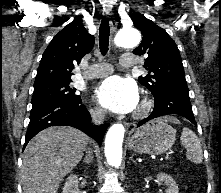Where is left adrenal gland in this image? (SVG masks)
<instances>
[{
    "mask_svg": "<svg viewBox=\"0 0 221 193\" xmlns=\"http://www.w3.org/2000/svg\"><path fill=\"white\" fill-rule=\"evenodd\" d=\"M133 156H134V155L132 154V155L130 156L129 160H130V161H133L134 163H136V161L133 159Z\"/></svg>",
    "mask_w": 221,
    "mask_h": 193,
    "instance_id": "obj_1",
    "label": "left adrenal gland"
}]
</instances>
